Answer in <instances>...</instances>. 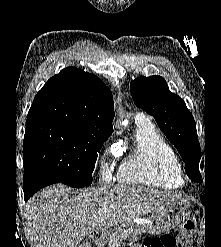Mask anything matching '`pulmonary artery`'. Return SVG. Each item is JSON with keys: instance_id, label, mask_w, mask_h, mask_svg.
Listing matches in <instances>:
<instances>
[{"instance_id": "e3ab8cb5", "label": "pulmonary artery", "mask_w": 221, "mask_h": 247, "mask_svg": "<svg viewBox=\"0 0 221 247\" xmlns=\"http://www.w3.org/2000/svg\"><path fill=\"white\" fill-rule=\"evenodd\" d=\"M140 118H143V116L141 114H138L137 117H136V119L138 120Z\"/></svg>"}]
</instances>
